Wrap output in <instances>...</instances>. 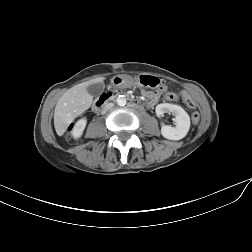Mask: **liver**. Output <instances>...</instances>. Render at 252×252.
Instances as JSON below:
<instances>
[{
    "instance_id": "6515ba94",
    "label": "liver",
    "mask_w": 252,
    "mask_h": 252,
    "mask_svg": "<svg viewBox=\"0 0 252 252\" xmlns=\"http://www.w3.org/2000/svg\"><path fill=\"white\" fill-rule=\"evenodd\" d=\"M97 78L80 83L66 91L58 100L54 112L56 133L62 136L74 119L90 108L93 97L87 92V87L94 83L103 82Z\"/></svg>"
}]
</instances>
